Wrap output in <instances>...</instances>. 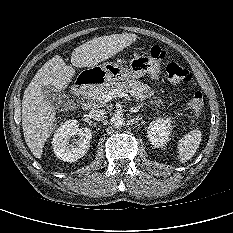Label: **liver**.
<instances>
[{"label": "liver", "mask_w": 233, "mask_h": 233, "mask_svg": "<svg viewBox=\"0 0 233 233\" xmlns=\"http://www.w3.org/2000/svg\"><path fill=\"white\" fill-rule=\"evenodd\" d=\"M136 34L122 33L96 37L74 49L71 63L75 67H95L129 47L137 40ZM67 66L56 55L47 61L36 73L26 88L22 100V128L30 151L41 158L45 142L54 129V107L45 99L42 88L52 86L58 90L67 88L73 76L74 68Z\"/></svg>", "instance_id": "obj_1"}]
</instances>
